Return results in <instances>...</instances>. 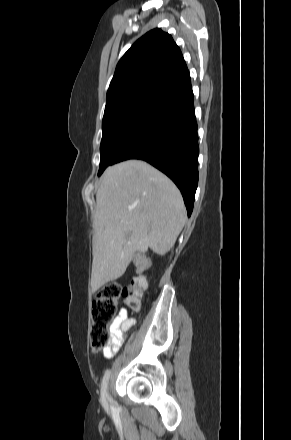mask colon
Instances as JSON below:
<instances>
[{"label": "colon", "instance_id": "colon-1", "mask_svg": "<svg viewBox=\"0 0 291 440\" xmlns=\"http://www.w3.org/2000/svg\"><path fill=\"white\" fill-rule=\"evenodd\" d=\"M146 263L151 264V261ZM146 288L145 278L135 276L125 288L117 283H110L97 291L92 302L89 331L90 346L94 351L104 350L110 344L109 327L117 312V300L124 298L132 311H138Z\"/></svg>", "mask_w": 291, "mask_h": 440}]
</instances>
